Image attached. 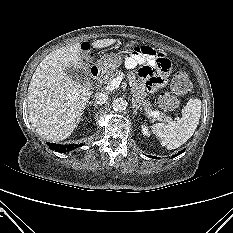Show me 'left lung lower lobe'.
<instances>
[{
    "instance_id": "left-lung-lower-lobe-1",
    "label": "left lung lower lobe",
    "mask_w": 233,
    "mask_h": 233,
    "mask_svg": "<svg viewBox=\"0 0 233 233\" xmlns=\"http://www.w3.org/2000/svg\"><path fill=\"white\" fill-rule=\"evenodd\" d=\"M182 152H184V150H182ZM181 154V152H179L178 154L174 155L173 157H176L177 155ZM151 158H157V157H152V156H149Z\"/></svg>"
}]
</instances>
